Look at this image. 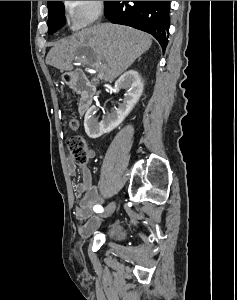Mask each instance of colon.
<instances>
[{"label": "colon", "mask_w": 237, "mask_h": 300, "mask_svg": "<svg viewBox=\"0 0 237 300\" xmlns=\"http://www.w3.org/2000/svg\"><path fill=\"white\" fill-rule=\"evenodd\" d=\"M66 144L75 163L86 165L89 157L85 140L81 136H72Z\"/></svg>", "instance_id": "1"}]
</instances>
